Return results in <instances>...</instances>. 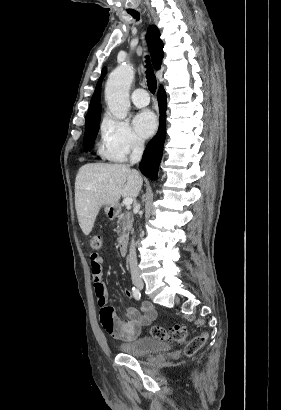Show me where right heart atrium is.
<instances>
[{"label": "right heart atrium", "instance_id": "d8ad5b80", "mask_svg": "<svg viewBox=\"0 0 281 410\" xmlns=\"http://www.w3.org/2000/svg\"><path fill=\"white\" fill-rule=\"evenodd\" d=\"M103 154L112 161H124L144 147L143 140L127 121L106 115L101 123Z\"/></svg>", "mask_w": 281, "mask_h": 410}]
</instances>
